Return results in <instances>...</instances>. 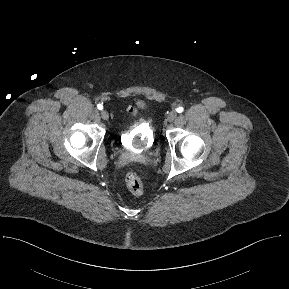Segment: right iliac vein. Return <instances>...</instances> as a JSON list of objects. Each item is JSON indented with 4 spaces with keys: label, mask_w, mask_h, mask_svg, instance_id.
Listing matches in <instances>:
<instances>
[{
    "label": "right iliac vein",
    "mask_w": 289,
    "mask_h": 289,
    "mask_svg": "<svg viewBox=\"0 0 289 289\" xmlns=\"http://www.w3.org/2000/svg\"><path fill=\"white\" fill-rule=\"evenodd\" d=\"M101 116L104 120H108L109 118L108 112L106 110L101 111Z\"/></svg>",
    "instance_id": "1"
}]
</instances>
